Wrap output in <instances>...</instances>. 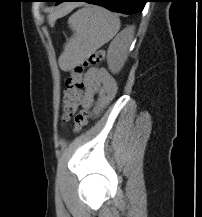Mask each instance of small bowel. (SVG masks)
<instances>
[{
  "instance_id": "obj_1",
  "label": "small bowel",
  "mask_w": 202,
  "mask_h": 217,
  "mask_svg": "<svg viewBox=\"0 0 202 217\" xmlns=\"http://www.w3.org/2000/svg\"><path fill=\"white\" fill-rule=\"evenodd\" d=\"M84 92L81 98L83 108H90L94 102V96L100 93L104 101L112 99L117 92L115 78L103 68H91L83 76Z\"/></svg>"
}]
</instances>
